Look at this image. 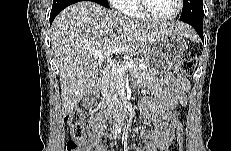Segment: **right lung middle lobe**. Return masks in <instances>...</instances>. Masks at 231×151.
Wrapping results in <instances>:
<instances>
[{
	"instance_id": "1",
	"label": "right lung middle lobe",
	"mask_w": 231,
	"mask_h": 151,
	"mask_svg": "<svg viewBox=\"0 0 231 151\" xmlns=\"http://www.w3.org/2000/svg\"><path fill=\"white\" fill-rule=\"evenodd\" d=\"M102 2H104L105 4H108L107 0H101Z\"/></svg>"
}]
</instances>
